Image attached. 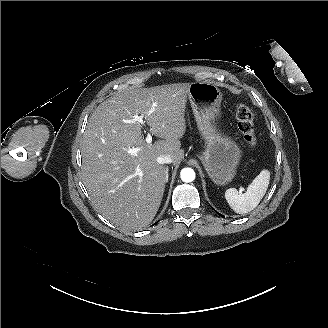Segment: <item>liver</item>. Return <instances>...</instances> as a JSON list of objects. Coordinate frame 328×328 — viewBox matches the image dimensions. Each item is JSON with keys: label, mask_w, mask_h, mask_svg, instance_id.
<instances>
[{"label": "liver", "mask_w": 328, "mask_h": 328, "mask_svg": "<svg viewBox=\"0 0 328 328\" xmlns=\"http://www.w3.org/2000/svg\"><path fill=\"white\" fill-rule=\"evenodd\" d=\"M188 83L135 88L117 93L92 113L81 146L82 180L97 211L124 230L148 225L155 217L168 181V168L157 158L170 155L178 162L180 138L186 130ZM141 114L152 135L147 144ZM138 147L136 156L128 150ZM139 168L143 177L134 175Z\"/></svg>", "instance_id": "6515ba94"}]
</instances>
